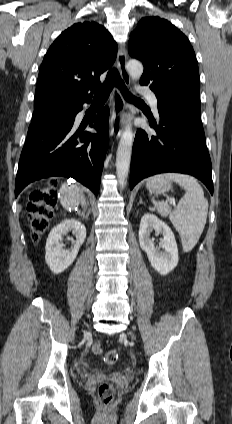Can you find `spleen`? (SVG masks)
I'll use <instances>...</instances> for the list:
<instances>
[{"label": "spleen", "instance_id": "obj_1", "mask_svg": "<svg viewBox=\"0 0 232 424\" xmlns=\"http://www.w3.org/2000/svg\"><path fill=\"white\" fill-rule=\"evenodd\" d=\"M164 176L185 189V195L174 210L164 201L152 199V203L161 216L169 217L181 237L184 252H190L197 244L205 227L208 201L204 197L202 187L194 177L181 173H168Z\"/></svg>", "mask_w": 232, "mask_h": 424}]
</instances>
